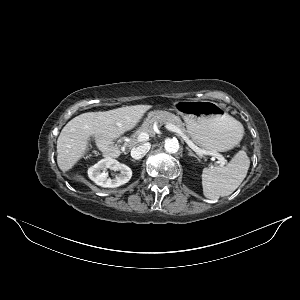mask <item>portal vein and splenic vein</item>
<instances>
[{
	"label": "portal vein and splenic vein",
	"instance_id": "1",
	"mask_svg": "<svg viewBox=\"0 0 300 300\" xmlns=\"http://www.w3.org/2000/svg\"><path fill=\"white\" fill-rule=\"evenodd\" d=\"M165 127L169 131L178 133L183 138V140L187 143V145L191 149H193L199 156H202V155H211V156H214L215 158L218 159V162L220 163L221 166L225 165L226 160L224 159V157L221 154H219V153H217L215 151H207V150L199 148L197 145H195L189 139V137L187 135H185L178 127H176V126H174L172 124H167ZM148 139H149V134L146 133V132H142V133L139 134V136L137 138V141L138 142H145Z\"/></svg>",
	"mask_w": 300,
	"mask_h": 300
}]
</instances>
